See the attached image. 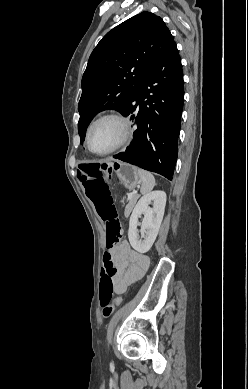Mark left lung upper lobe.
<instances>
[{
	"label": "left lung upper lobe",
	"mask_w": 248,
	"mask_h": 389,
	"mask_svg": "<svg viewBox=\"0 0 248 389\" xmlns=\"http://www.w3.org/2000/svg\"><path fill=\"white\" fill-rule=\"evenodd\" d=\"M174 43L162 18L147 11L124 21L100 40L82 77L78 104L81 144L96 114L107 109L122 113L127 108L151 68Z\"/></svg>",
	"instance_id": "5c2ea615"
}]
</instances>
